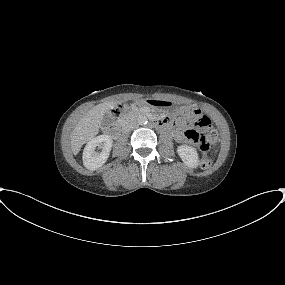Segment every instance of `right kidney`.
Segmentation results:
<instances>
[{
    "label": "right kidney",
    "mask_w": 285,
    "mask_h": 285,
    "mask_svg": "<svg viewBox=\"0 0 285 285\" xmlns=\"http://www.w3.org/2000/svg\"><path fill=\"white\" fill-rule=\"evenodd\" d=\"M113 140L109 135H99L91 139L83 151V164L89 170H96L108 159ZM96 149H100L98 152Z\"/></svg>",
    "instance_id": "right-kidney-1"
}]
</instances>
